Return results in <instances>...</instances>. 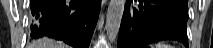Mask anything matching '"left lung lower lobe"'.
Listing matches in <instances>:
<instances>
[{
  "label": "left lung lower lobe",
  "mask_w": 213,
  "mask_h": 48,
  "mask_svg": "<svg viewBox=\"0 0 213 48\" xmlns=\"http://www.w3.org/2000/svg\"><path fill=\"white\" fill-rule=\"evenodd\" d=\"M127 0L117 48H148V44L174 39L188 48L187 0Z\"/></svg>",
  "instance_id": "0a47b994"
}]
</instances>
